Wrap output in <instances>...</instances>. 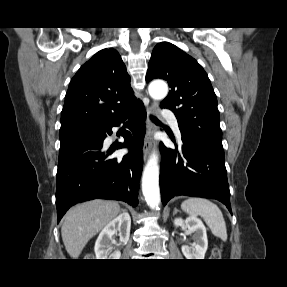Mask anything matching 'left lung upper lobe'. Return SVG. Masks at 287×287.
<instances>
[{
    "mask_svg": "<svg viewBox=\"0 0 287 287\" xmlns=\"http://www.w3.org/2000/svg\"><path fill=\"white\" fill-rule=\"evenodd\" d=\"M156 78L171 87L161 108L175 114L181 133L223 150L217 98L202 66L175 45L161 42L153 49L146 81Z\"/></svg>",
    "mask_w": 287,
    "mask_h": 287,
    "instance_id": "obj_1",
    "label": "left lung upper lobe"
}]
</instances>
